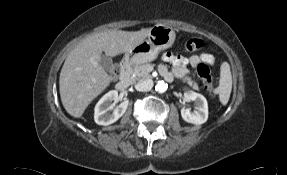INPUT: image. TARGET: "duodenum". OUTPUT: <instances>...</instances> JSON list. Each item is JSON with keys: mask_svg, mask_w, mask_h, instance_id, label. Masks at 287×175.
Instances as JSON below:
<instances>
[{"mask_svg": "<svg viewBox=\"0 0 287 175\" xmlns=\"http://www.w3.org/2000/svg\"><path fill=\"white\" fill-rule=\"evenodd\" d=\"M131 84V61L125 59L120 65V78L116 84V87L120 91L126 90Z\"/></svg>", "mask_w": 287, "mask_h": 175, "instance_id": "obj_1", "label": "duodenum"}]
</instances>
